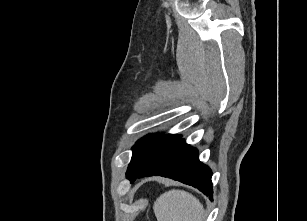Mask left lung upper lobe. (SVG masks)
Returning a JSON list of instances; mask_svg holds the SVG:
<instances>
[{"instance_id": "5c2ea615", "label": "left lung upper lobe", "mask_w": 307, "mask_h": 221, "mask_svg": "<svg viewBox=\"0 0 307 221\" xmlns=\"http://www.w3.org/2000/svg\"><path fill=\"white\" fill-rule=\"evenodd\" d=\"M180 138V135L149 134L140 139L133 147V155L128 166L127 177L132 181L141 170L154 161L170 145Z\"/></svg>"}]
</instances>
